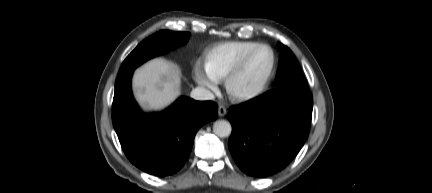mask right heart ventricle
I'll return each instance as SVG.
<instances>
[{
	"instance_id": "obj_1",
	"label": "right heart ventricle",
	"mask_w": 432,
	"mask_h": 193,
	"mask_svg": "<svg viewBox=\"0 0 432 193\" xmlns=\"http://www.w3.org/2000/svg\"><path fill=\"white\" fill-rule=\"evenodd\" d=\"M257 45L256 41H235L210 48L205 54L206 71L216 81L224 80L240 59Z\"/></svg>"
}]
</instances>
